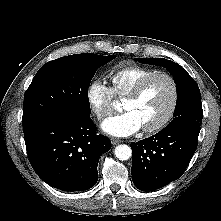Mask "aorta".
<instances>
[{
    "label": "aorta",
    "mask_w": 221,
    "mask_h": 221,
    "mask_svg": "<svg viewBox=\"0 0 221 221\" xmlns=\"http://www.w3.org/2000/svg\"><path fill=\"white\" fill-rule=\"evenodd\" d=\"M114 153H115V156L119 160L124 161V160H128L131 157L132 150L128 145L122 144V145H118L115 148Z\"/></svg>",
    "instance_id": "762f6f07"
}]
</instances>
